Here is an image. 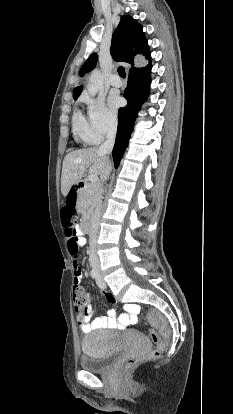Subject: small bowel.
<instances>
[{"instance_id": "1", "label": "small bowel", "mask_w": 233, "mask_h": 414, "mask_svg": "<svg viewBox=\"0 0 233 414\" xmlns=\"http://www.w3.org/2000/svg\"><path fill=\"white\" fill-rule=\"evenodd\" d=\"M77 243L79 247H82L86 244L85 237L81 234L80 231L76 232ZM71 256L74 258L73 273H74V283L73 289L79 290L81 286V280L83 279L82 269L80 268L81 263L77 260L80 257V252L74 250L71 253ZM106 300L113 305H116L115 298L106 294ZM139 312V306L134 303H127L124 305L123 310L120 307H115L109 309L104 316L96 317L97 310L95 305L88 304L83 310V315L85 316L86 323L82 324L81 330L83 333H88L93 329L98 328H108V329H125L134 326L137 322V313Z\"/></svg>"}]
</instances>
